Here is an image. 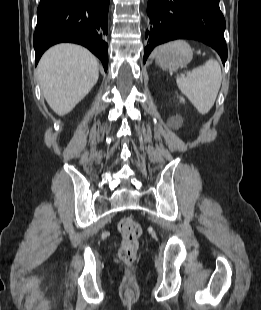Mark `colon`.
<instances>
[{"mask_svg": "<svg viewBox=\"0 0 261 310\" xmlns=\"http://www.w3.org/2000/svg\"><path fill=\"white\" fill-rule=\"evenodd\" d=\"M122 242L118 250L119 258L127 264L136 260L139 238L142 235L141 225L131 217H124L118 224Z\"/></svg>", "mask_w": 261, "mask_h": 310, "instance_id": "5ec220e1", "label": "colon"}]
</instances>
